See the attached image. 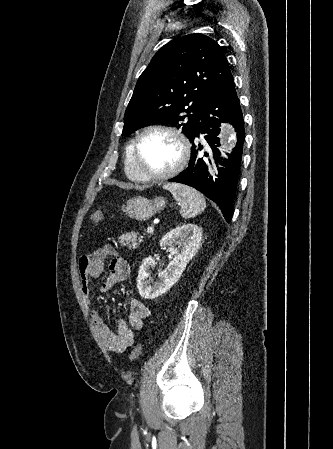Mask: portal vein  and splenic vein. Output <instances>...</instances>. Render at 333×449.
I'll list each match as a JSON object with an SVG mask.
<instances>
[{
	"mask_svg": "<svg viewBox=\"0 0 333 449\" xmlns=\"http://www.w3.org/2000/svg\"><path fill=\"white\" fill-rule=\"evenodd\" d=\"M153 231H154V229H153V227H151V226H149V227L146 229V233H147V234L152 233Z\"/></svg>",
	"mask_w": 333,
	"mask_h": 449,
	"instance_id": "portal-vein-and-splenic-vein-1",
	"label": "portal vein and splenic vein"
}]
</instances>
